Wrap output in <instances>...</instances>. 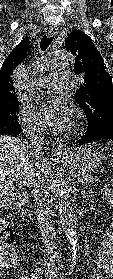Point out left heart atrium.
<instances>
[{
    "label": "left heart atrium",
    "mask_w": 113,
    "mask_h": 279,
    "mask_svg": "<svg viewBox=\"0 0 113 279\" xmlns=\"http://www.w3.org/2000/svg\"><path fill=\"white\" fill-rule=\"evenodd\" d=\"M44 124L53 132L68 130L74 123V110L64 98H56L41 110Z\"/></svg>",
    "instance_id": "1"
}]
</instances>
